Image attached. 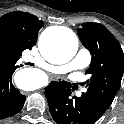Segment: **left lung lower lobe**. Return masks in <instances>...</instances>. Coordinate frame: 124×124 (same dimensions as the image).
I'll return each mask as SVG.
<instances>
[{
	"label": "left lung lower lobe",
	"mask_w": 124,
	"mask_h": 124,
	"mask_svg": "<svg viewBox=\"0 0 124 124\" xmlns=\"http://www.w3.org/2000/svg\"><path fill=\"white\" fill-rule=\"evenodd\" d=\"M71 84L52 82L45 88L52 118L58 124H93L100 117L90 102L82 95L71 98Z\"/></svg>",
	"instance_id": "obj_1"
}]
</instances>
